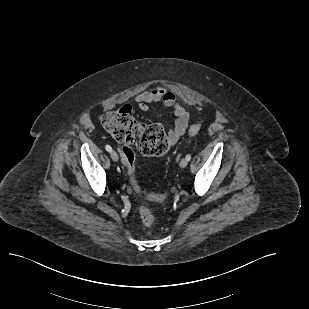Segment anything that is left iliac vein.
<instances>
[{
	"label": "left iliac vein",
	"mask_w": 309,
	"mask_h": 309,
	"mask_svg": "<svg viewBox=\"0 0 309 309\" xmlns=\"http://www.w3.org/2000/svg\"><path fill=\"white\" fill-rule=\"evenodd\" d=\"M179 165L181 168H185L188 165L187 159L186 158L181 159Z\"/></svg>",
	"instance_id": "1"
}]
</instances>
